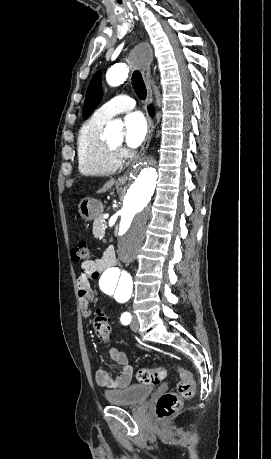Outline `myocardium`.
<instances>
[{"label":"myocardium","mask_w":271,"mask_h":459,"mask_svg":"<svg viewBox=\"0 0 271 459\" xmlns=\"http://www.w3.org/2000/svg\"><path fill=\"white\" fill-rule=\"evenodd\" d=\"M105 143L108 146V148L111 149L114 152H117L121 148V145H114V144L110 143L107 140H105Z\"/></svg>","instance_id":"myocardium-1"}]
</instances>
